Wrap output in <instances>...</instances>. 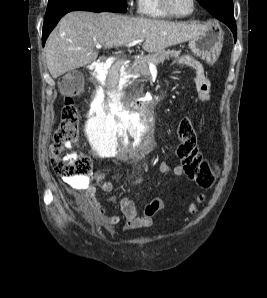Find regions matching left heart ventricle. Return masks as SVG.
Listing matches in <instances>:
<instances>
[{"instance_id": "left-heart-ventricle-1", "label": "left heart ventricle", "mask_w": 267, "mask_h": 298, "mask_svg": "<svg viewBox=\"0 0 267 298\" xmlns=\"http://www.w3.org/2000/svg\"><path fill=\"white\" fill-rule=\"evenodd\" d=\"M170 7L178 14H186L192 8V0H169Z\"/></svg>"}]
</instances>
